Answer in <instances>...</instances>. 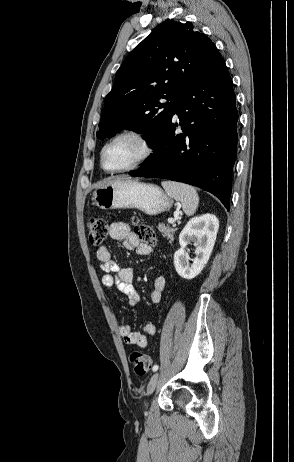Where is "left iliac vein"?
<instances>
[{"label": "left iliac vein", "instance_id": "4c4485c4", "mask_svg": "<svg viewBox=\"0 0 294 462\" xmlns=\"http://www.w3.org/2000/svg\"><path fill=\"white\" fill-rule=\"evenodd\" d=\"M158 379H159V373L156 372L152 375V377L150 378V381L148 383V386H147V396L151 395L153 393V391L155 390L156 386H157V383H158Z\"/></svg>", "mask_w": 294, "mask_h": 462}]
</instances>
